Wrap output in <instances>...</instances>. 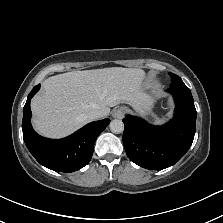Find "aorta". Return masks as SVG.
Returning <instances> with one entry per match:
<instances>
[{
    "label": "aorta",
    "instance_id": "1",
    "mask_svg": "<svg viewBox=\"0 0 223 223\" xmlns=\"http://www.w3.org/2000/svg\"><path fill=\"white\" fill-rule=\"evenodd\" d=\"M109 127H110L111 132L113 133H121L124 130V124L122 120H119V119L112 120L110 122Z\"/></svg>",
    "mask_w": 223,
    "mask_h": 223
}]
</instances>
